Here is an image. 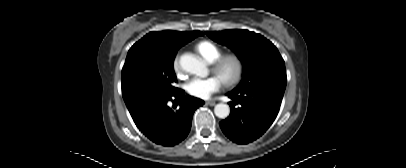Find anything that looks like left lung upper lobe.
I'll return each mask as SVG.
<instances>
[{
	"label": "left lung upper lobe",
	"instance_id": "obj_1",
	"mask_svg": "<svg viewBox=\"0 0 406 168\" xmlns=\"http://www.w3.org/2000/svg\"><path fill=\"white\" fill-rule=\"evenodd\" d=\"M205 33L212 40L231 48L243 63L242 81L231 92L244 93L255 89L285 91V63L272 42L248 30Z\"/></svg>",
	"mask_w": 406,
	"mask_h": 168
}]
</instances>
